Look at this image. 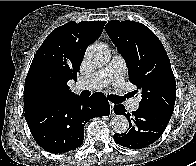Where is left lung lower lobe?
<instances>
[{
    "instance_id": "obj_1",
    "label": "left lung lower lobe",
    "mask_w": 196,
    "mask_h": 166,
    "mask_svg": "<svg viewBox=\"0 0 196 166\" xmlns=\"http://www.w3.org/2000/svg\"><path fill=\"white\" fill-rule=\"evenodd\" d=\"M115 114H124L128 119L124 105H114ZM129 119V129L122 134H114V141L123 147L141 149L152 144L160 138L164 132L171 115L161 111L139 107L132 112Z\"/></svg>"
}]
</instances>
